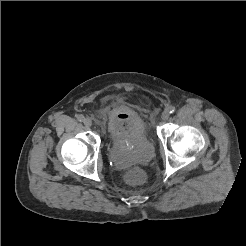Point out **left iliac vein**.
Instances as JSON below:
<instances>
[{
	"label": "left iliac vein",
	"mask_w": 246,
	"mask_h": 246,
	"mask_svg": "<svg viewBox=\"0 0 246 246\" xmlns=\"http://www.w3.org/2000/svg\"><path fill=\"white\" fill-rule=\"evenodd\" d=\"M162 120H167L169 118V112L167 110L163 111L161 114Z\"/></svg>",
	"instance_id": "left-iliac-vein-1"
}]
</instances>
